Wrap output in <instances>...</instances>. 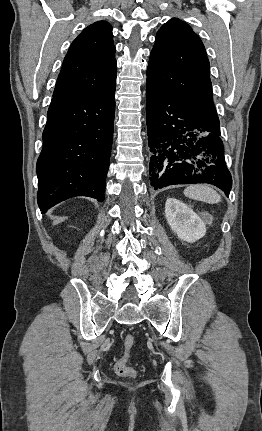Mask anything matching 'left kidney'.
<instances>
[{"mask_svg": "<svg viewBox=\"0 0 262 431\" xmlns=\"http://www.w3.org/2000/svg\"><path fill=\"white\" fill-rule=\"evenodd\" d=\"M165 217L171 229L181 240L195 242L206 234V226L201 218L177 199H167Z\"/></svg>", "mask_w": 262, "mask_h": 431, "instance_id": "5707ae66", "label": "left kidney"}]
</instances>
